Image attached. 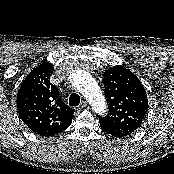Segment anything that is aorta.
<instances>
[{"label": "aorta", "mask_w": 174, "mask_h": 174, "mask_svg": "<svg viewBox=\"0 0 174 174\" xmlns=\"http://www.w3.org/2000/svg\"><path fill=\"white\" fill-rule=\"evenodd\" d=\"M69 81L88 100L92 109L98 114H105L106 102L104 96L93 77L82 69L70 72Z\"/></svg>", "instance_id": "obj_1"}]
</instances>
